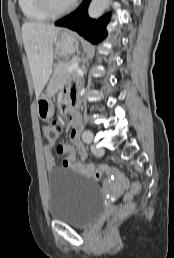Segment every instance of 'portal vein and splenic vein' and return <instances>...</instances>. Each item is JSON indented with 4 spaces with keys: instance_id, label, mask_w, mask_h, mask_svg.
<instances>
[{
    "instance_id": "1",
    "label": "portal vein and splenic vein",
    "mask_w": 174,
    "mask_h": 258,
    "mask_svg": "<svg viewBox=\"0 0 174 258\" xmlns=\"http://www.w3.org/2000/svg\"><path fill=\"white\" fill-rule=\"evenodd\" d=\"M77 67H78V63H74V64L68 66L67 69H66V71H67V72H73L74 70L77 69Z\"/></svg>"
}]
</instances>
